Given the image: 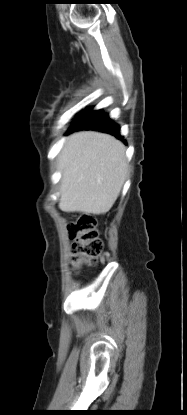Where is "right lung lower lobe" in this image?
I'll return each mask as SVG.
<instances>
[{
    "label": "right lung lower lobe",
    "mask_w": 187,
    "mask_h": 415,
    "mask_svg": "<svg viewBox=\"0 0 187 415\" xmlns=\"http://www.w3.org/2000/svg\"><path fill=\"white\" fill-rule=\"evenodd\" d=\"M77 130H96L114 135L118 139L123 137L120 135V128L108 116L102 113L101 110L93 111L88 109L81 114L71 125L67 133ZM125 142V141H124Z\"/></svg>",
    "instance_id": "1"
}]
</instances>
